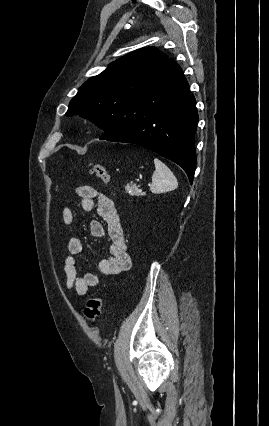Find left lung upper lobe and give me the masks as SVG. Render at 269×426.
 <instances>
[{
  "mask_svg": "<svg viewBox=\"0 0 269 426\" xmlns=\"http://www.w3.org/2000/svg\"><path fill=\"white\" fill-rule=\"evenodd\" d=\"M167 60L155 47L141 48L121 57L79 88L66 116L79 114L88 118L104 129L102 138L111 137L133 95L150 85Z\"/></svg>",
  "mask_w": 269,
  "mask_h": 426,
  "instance_id": "1",
  "label": "left lung upper lobe"
}]
</instances>
